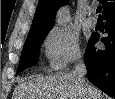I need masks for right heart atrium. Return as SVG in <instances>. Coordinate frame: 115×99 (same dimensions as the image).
<instances>
[{"mask_svg": "<svg viewBox=\"0 0 115 99\" xmlns=\"http://www.w3.org/2000/svg\"><path fill=\"white\" fill-rule=\"evenodd\" d=\"M43 47L53 70H60L82 56L78 35L69 27L51 29L43 40Z\"/></svg>", "mask_w": 115, "mask_h": 99, "instance_id": "right-heart-atrium-1", "label": "right heart atrium"}]
</instances>
